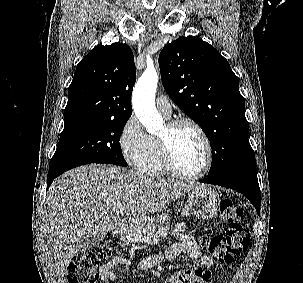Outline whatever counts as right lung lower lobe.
Listing matches in <instances>:
<instances>
[{
	"label": "right lung lower lobe",
	"instance_id": "right-lung-lower-lobe-1",
	"mask_svg": "<svg viewBox=\"0 0 303 283\" xmlns=\"http://www.w3.org/2000/svg\"><path fill=\"white\" fill-rule=\"evenodd\" d=\"M80 165H84V164L65 165V166H58L55 168H49L48 177H47V189L49 188V186L51 185V183L57 176H59L60 174H62L63 172H65L67 170H70V169L80 166Z\"/></svg>",
	"mask_w": 303,
	"mask_h": 283
}]
</instances>
